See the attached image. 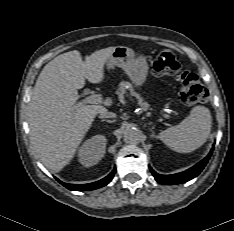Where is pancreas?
I'll return each mask as SVG.
<instances>
[{
	"label": "pancreas",
	"instance_id": "obj_1",
	"mask_svg": "<svg viewBox=\"0 0 234 231\" xmlns=\"http://www.w3.org/2000/svg\"><path fill=\"white\" fill-rule=\"evenodd\" d=\"M126 89H129V91L134 94L133 87H132L131 83L126 82V81H122L119 84L117 94L119 96L123 95L126 92ZM139 102H140L141 105H143L144 109L148 108V104L147 103H143L141 99H139Z\"/></svg>",
	"mask_w": 234,
	"mask_h": 231
}]
</instances>
